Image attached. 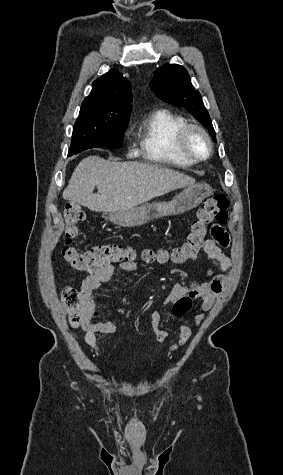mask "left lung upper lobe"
<instances>
[{"label":"left lung upper lobe","mask_w":283,"mask_h":475,"mask_svg":"<svg viewBox=\"0 0 283 475\" xmlns=\"http://www.w3.org/2000/svg\"><path fill=\"white\" fill-rule=\"evenodd\" d=\"M151 90L161 100L176 106L185 107L198 121H200L216 142V134L208 111L203 105L199 91H196L190 82L187 70L177 64H166L154 73Z\"/></svg>","instance_id":"left-lung-upper-lobe-1"}]
</instances>
